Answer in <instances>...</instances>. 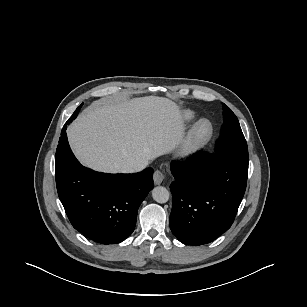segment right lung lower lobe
Returning <instances> with one entry per match:
<instances>
[{
  "label": "right lung lower lobe",
  "instance_id": "right-lung-lower-lobe-1",
  "mask_svg": "<svg viewBox=\"0 0 307 307\" xmlns=\"http://www.w3.org/2000/svg\"><path fill=\"white\" fill-rule=\"evenodd\" d=\"M66 122L55 155L57 191L73 227L101 244L125 240L136 225L137 210L153 188V170L106 174L83 167L67 140Z\"/></svg>",
  "mask_w": 307,
  "mask_h": 307
}]
</instances>
